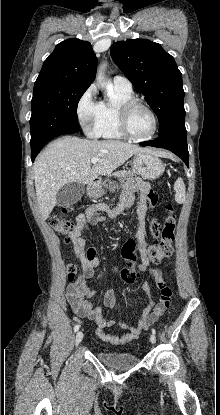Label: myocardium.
<instances>
[{
	"mask_svg": "<svg viewBox=\"0 0 220 415\" xmlns=\"http://www.w3.org/2000/svg\"><path fill=\"white\" fill-rule=\"evenodd\" d=\"M136 107H141L145 109L146 111L149 112V114L152 117L153 130L146 137H142V138L135 137L134 135L130 133L128 129V116L130 112ZM116 119H117L118 129L120 133L123 135V137L134 142L148 141L155 136L158 130V118H157L155 111L149 105L137 99H130V100L120 103L116 109Z\"/></svg>",
	"mask_w": 220,
	"mask_h": 415,
	"instance_id": "f54148a6",
	"label": "myocardium"
}]
</instances>
